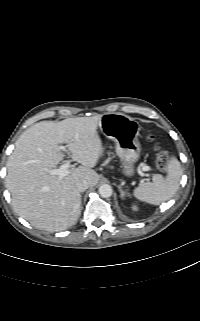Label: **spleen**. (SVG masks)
Returning <instances> with one entry per match:
<instances>
[{"instance_id": "1", "label": "spleen", "mask_w": 200, "mask_h": 321, "mask_svg": "<svg viewBox=\"0 0 200 321\" xmlns=\"http://www.w3.org/2000/svg\"><path fill=\"white\" fill-rule=\"evenodd\" d=\"M182 168L177 158L172 155L167 162V176H156L154 182H140L133 191L136 199L152 205H160L173 197L179 188Z\"/></svg>"}]
</instances>
